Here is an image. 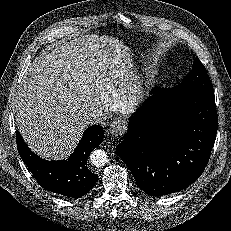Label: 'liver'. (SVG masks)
Returning a JSON list of instances; mask_svg holds the SVG:
<instances>
[{"label":"liver","mask_w":231,"mask_h":231,"mask_svg":"<svg viewBox=\"0 0 231 231\" xmlns=\"http://www.w3.org/2000/svg\"><path fill=\"white\" fill-rule=\"evenodd\" d=\"M127 47L83 35L56 43L30 64L16 95V121L30 149L46 159L73 153L87 128L79 114H126L142 97Z\"/></svg>","instance_id":"obj_1"}]
</instances>
